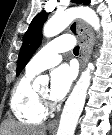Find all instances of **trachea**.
I'll return each instance as SVG.
<instances>
[{
	"label": "trachea",
	"mask_w": 112,
	"mask_h": 135,
	"mask_svg": "<svg viewBox=\"0 0 112 135\" xmlns=\"http://www.w3.org/2000/svg\"><path fill=\"white\" fill-rule=\"evenodd\" d=\"M73 53H74V54H78V53H79V46H76V47L73 49Z\"/></svg>",
	"instance_id": "3493384b"
}]
</instances>
